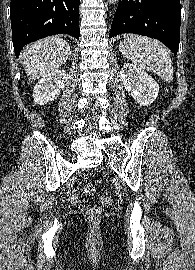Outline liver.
<instances>
[{
    "label": "liver",
    "mask_w": 195,
    "mask_h": 270,
    "mask_svg": "<svg viewBox=\"0 0 195 270\" xmlns=\"http://www.w3.org/2000/svg\"><path fill=\"white\" fill-rule=\"evenodd\" d=\"M70 53L67 41L52 36L27 45L20 57L27 76L36 80L59 68Z\"/></svg>",
    "instance_id": "1"
}]
</instances>
